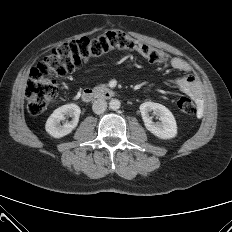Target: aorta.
Segmentation results:
<instances>
[{
    "mask_svg": "<svg viewBox=\"0 0 232 232\" xmlns=\"http://www.w3.org/2000/svg\"><path fill=\"white\" fill-rule=\"evenodd\" d=\"M120 106H121V103H120V101L118 99H111L110 102H109V108L111 110L116 111V110H118L120 108Z\"/></svg>",
    "mask_w": 232,
    "mask_h": 232,
    "instance_id": "aorta-1",
    "label": "aorta"
}]
</instances>
